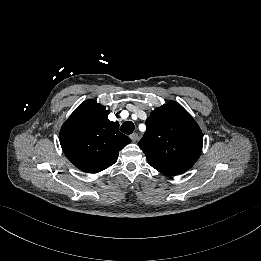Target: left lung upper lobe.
<instances>
[{"instance_id": "obj_1", "label": "left lung upper lobe", "mask_w": 261, "mask_h": 261, "mask_svg": "<svg viewBox=\"0 0 261 261\" xmlns=\"http://www.w3.org/2000/svg\"><path fill=\"white\" fill-rule=\"evenodd\" d=\"M138 144L153 168L166 175H178L199 158L203 136L191 115L171 101L152 111Z\"/></svg>"}]
</instances>
